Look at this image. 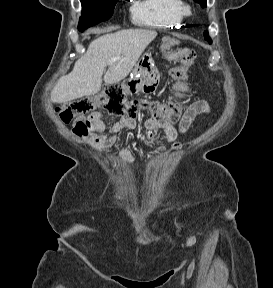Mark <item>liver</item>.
Wrapping results in <instances>:
<instances>
[{
  "instance_id": "1",
  "label": "liver",
  "mask_w": 273,
  "mask_h": 288,
  "mask_svg": "<svg viewBox=\"0 0 273 288\" xmlns=\"http://www.w3.org/2000/svg\"><path fill=\"white\" fill-rule=\"evenodd\" d=\"M156 36L155 30L126 29L98 37L76 61L73 70L57 81L50 94L51 101L66 103L94 95L100 91L103 80L107 84L120 82ZM117 57L120 59L113 61ZM106 66L109 68L102 79Z\"/></svg>"
}]
</instances>
